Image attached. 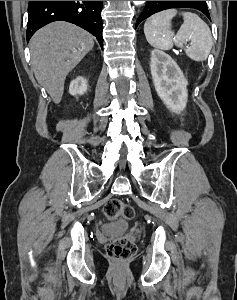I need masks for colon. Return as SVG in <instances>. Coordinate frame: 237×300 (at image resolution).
Instances as JSON below:
<instances>
[{"label": "colon", "instance_id": "colon-1", "mask_svg": "<svg viewBox=\"0 0 237 300\" xmlns=\"http://www.w3.org/2000/svg\"><path fill=\"white\" fill-rule=\"evenodd\" d=\"M103 213L107 218L122 216L127 220L134 217L135 212L132 206L120 199L112 198L103 207ZM136 251L134 238L131 235L115 239L106 245L107 254L119 263L128 261Z\"/></svg>", "mask_w": 237, "mask_h": 300}]
</instances>
